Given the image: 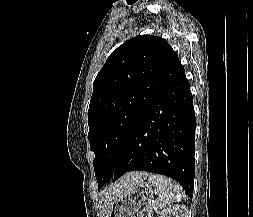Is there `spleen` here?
Instances as JSON below:
<instances>
[{
  "instance_id": "obj_1",
  "label": "spleen",
  "mask_w": 253,
  "mask_h": 217,
  "mask_svg": "<svg viewBox=\"0 0 253 217\" xmlns=\"http://www.w3.org/2000/svg\"><path fill=\"white\" fill-rule=\"evenodd\" d=\"M148 182L156 187V193L159 195L156 204L161 209L171 206L173 202H177L182 198L181 186L171 178L159 174H151L148 177Z\"/></svg>"
}]
</instances>
